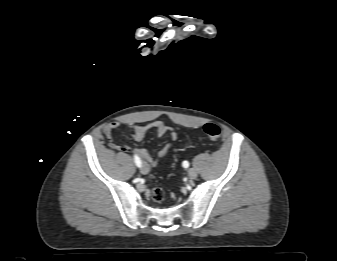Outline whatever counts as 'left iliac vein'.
<instances>
[{"label":"left iliac vein","mask_w":337,"mask_h":261,"mask_svg":"<svg viewBox=\"0 0 337 261\" xmlns=\"http://www.w3.org/2000/svg\"><path fill=\"white\" fill-rule=\"evenodd\" d=\"M188 176L190 179H196L197 171L194 168L188 170Z\"/></svg>","instance_id":"obj_1"}]
</instances>
